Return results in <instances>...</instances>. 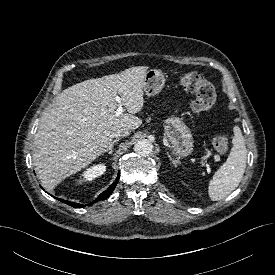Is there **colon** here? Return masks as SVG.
I'll use <instances>...</instances> for the list:
<instances>
[{
    "instance_id": "obj_1",
    "label": "colon",
    "mask_w": 275,
    "mask_h": 275,
    "mask_svg": "<svg viewBox=\"0 0 275 275\" xmlns=\"http://www.w3.org/2000/svg\"><path fill=\"white\" fill-rule=\"evenodd\" d=\"M179 83L184 90L195 94L191 104L194 112H206L212 108L215 102L214 88L200 73H184L180 76ZM212 145L217 152L224 153L228 148V138L217 135L213 138Z\"/></svg>"
}]
</instances>
